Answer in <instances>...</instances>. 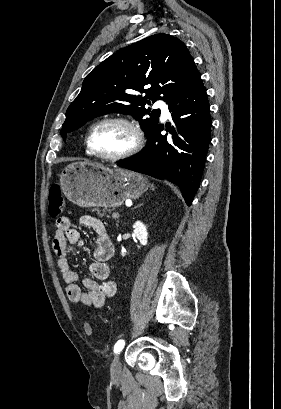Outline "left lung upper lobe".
<instances>
[{"instance_id":"left-lung-upper-lobe-1","label":"left lung upper lobe","mask_w":281,"mask_h":409,"mask_svg":"<svg viewBox=\"0 0 281 409\" xmlns=\"http://www.w3.org/2000/svg\"><path fill=\"white\" fill-rule=\"evenodd\" d=\"M196 71L185 44L174 36L155 34L129 45L86 76L80 94L67 109L60 134L65 140L68 132L92 118L122 113L131 114L149 136L158 126L160 110L150 111L144 106L158 99L169 104L189 85Z\"/></svg>"}]
</instances>
